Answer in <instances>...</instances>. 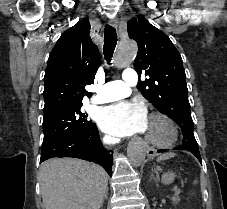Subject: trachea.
<instances>
[{
	"instance_id": "3493384b",
	"label": "trachea",
	"mask_w": 227,
	"mask_h": 209,
	"mask_svg": "<svg viewBox=\"0 0 227 209\" xmlns=\"http://www.w3.org/2000/svg\"><path fill=\"white\" fill-rule=\"evenodd\" d=\"M116 44H117L116 29L113 26L107 24L105 26L104 35V58L106 59L108 64H110Z\"/></svg>"
}]
</instances>
